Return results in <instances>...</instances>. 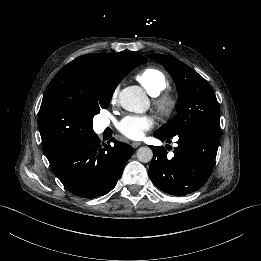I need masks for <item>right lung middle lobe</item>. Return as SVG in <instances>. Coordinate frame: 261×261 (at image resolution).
I'll list each match as a JSON object with an SVG mask.
<instances>
[{"instance_id":"right-lung-middle-lobe-1","label":"right lung middle lobe","mask_w":261,"mask_h":261,"mask_svg":"<svg viewBox=\"0 0 261 261\" xmlns=\"http://www.w3.org/2000/svg\"><path fill=\"white\" fill-rule=\"evenodd\" d=\"M144 62H146V60L140 54L133 53L129 55L125 60L122 61L116 79L96 89V92L93 97V108H94L95 115L99 113L101 108L106 109L109 106L113 92L116 86L118 85V83L135 66Z\"/></svg>"}]
</instances>
